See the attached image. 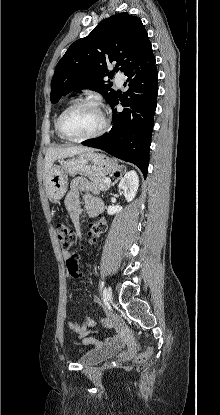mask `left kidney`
Returning a JSON list of instances; mask_svg holds the SVG:
<instances>
[{"mask_svg":"<svg viewBox=\"0 0 220 415\" xmlns=\"http://www.w3.org/2000/svg\"><path fill=\"white\" fill-rule=\"evenodd\" d=\"M138 187H139V177L137 175V172L134 170L127 172L124 175V177L121 179L118 185V188L123 191V194L127 202H130L134 199V197L136 196ZM121 210H122V207L112 205L108 207L107 213L109 215H114V214L121 212Z\"/></svg>","mask_w":220,"mask_h":415,"instance_id":"1","label":"left kidney"}]
</instances>
